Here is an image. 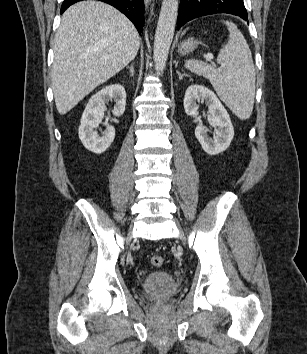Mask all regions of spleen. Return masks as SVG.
<instances>
[{
    "label": "spleen",
    "instance_id": "spleen-1",
    "mask_svg": "<svg viewBox=\"0 0 307 354\" xmlns=\"http://www.w3.org/2000/svg\"><path fill=\"white\" fill-rule=\"evenodd\" d=\"M229 30L228 42L223 45L214 66L197 60H187L185 67L209 79L220 99L241 120L253 111L256 74L249 46L233 23L225 22Z\"/></svg>",
    "mask_w": 307,
    "mask_h": 354
}]
</instances>
